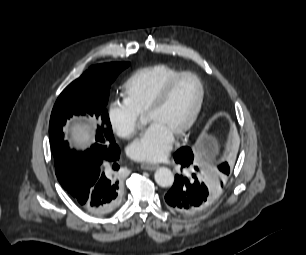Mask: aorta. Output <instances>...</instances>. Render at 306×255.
Returning a JSON list of instances; mask_svg holds the SVG:
<instances>
[{"mask_svg": "<svg viewBox=\"0 0 306 255\" xmlns=\"http://www.w3.org/2000/svg\"><path fill=\"white\" fill-rule=\"evenodd\" d=\"M155 182L160 187H170L173 185L174 182V174L169 168L166 167H160L156 170L154 174Z\"/></svg>", "mask_w": 306, "mask_h": 255, "instance_id": "aorta-1", "label": "aorta"}]
</instances>
